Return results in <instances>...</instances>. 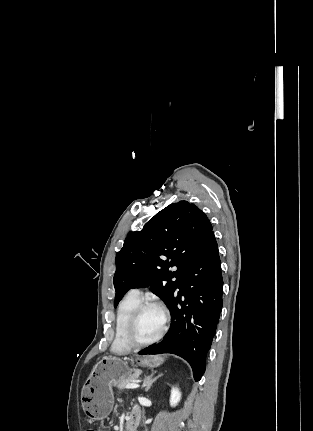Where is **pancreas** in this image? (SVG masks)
Returning <instances> with one entry per match:
<instances>
[{
	"mask_svg": "<svg viewBox=\"0 0 313 431\" xmlns=\"http://www.w3.org/2000/svg\"><path fill=\"white\" fill-rule=\"evenodd\" d=\"M139 372H135L132 376H129V377H127V378H122V379H120V380H118L117 382H116V387L118 388V389H124L125 388V385L127 384V383H132V382H136L137 381V379H138V377H139Z\"/></svg>",
	"mask_w": 313,
	"mask_h": 431,
	"instance_id": "cf45deb5",
	"label": "pancreas"
}]
</instances>
